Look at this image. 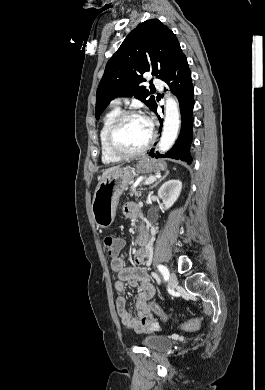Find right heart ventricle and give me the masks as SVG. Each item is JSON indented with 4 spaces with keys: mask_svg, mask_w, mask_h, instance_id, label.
<instances>
[{
    "mask_svg": "<svg viewBox=\"0 0 265 390\" xmlns=\"http://www.w3.org/2000/svg\"><path fill=\"white\" fill-rule=\"evenodd\" d=\"M119 113H120V108L118 106H115L111 108L104 115L102 120V125L99 132V141H100L101 161L104 164L117 163L121 160V158L117 157L109 150L107 145L108 130Z\"/></svg>",
    "mask_w": 265,
    "mask_h": 390,
    "instance_id": "right-heart-ventricle-1",
    "label": "right heart ventricle"
}]
</instances>
